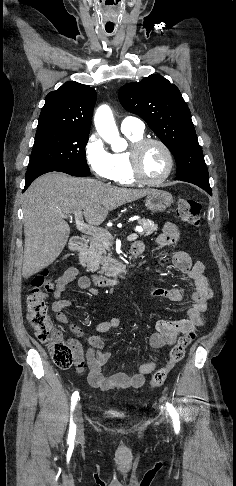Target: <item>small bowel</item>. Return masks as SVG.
I'll return each mask as SVG.
<instances>
[{"mask_svg":"<svg viewBox=\"0 0 236 486\" xmlns=\"http://www.w3.org/2000/svg\"><path fill=\"white\" fill-rule=\"evenodd\" d=\"M180 241V232L174 223H167L163 231L156 237L155 243L158 246L176 245ZM135 246L138 253L143 252L145 246L142 242H137ZM173 264L178 270L186 272L190 279L193 280L195 290L191 294L192 306L186 311L185 318L178 320L162 319L156 324V332L150 336L149 343L153 349H160L165 346H171L175 343L180 334L192 332L201 324L203 314L207 309L208 301L213 297V290L207 277L204 275V264L201 261H194L185 251H177L172 256H163L157 261V268L166 264ZM78 279L79 287L85 290L89 289V281L86 277L80 276L75 267L68 268L56 282L54 292V302L52 311L59 323L67 325L70 330L80 338H84L88 344L86 350L76 339H70L69 344L73 349L75 358V368L82 372L85 364L89 369L88 383L91 387L102 391L108 390H126L129 388H140L145 377L152 373L157 367L156 359L152 358L135 369L129 374L117 372L110 375L103 373V367L110 360L111 354L104 347V342L97 334L86 335L83 329L71 321L64 310L72 306V301L63 299L68 285ZM94 293H97L96 291ZM151 298H164L173 302H180L184 296L180 289H166L152 286L150 288ZM122 319L119 317L111 318L97 324V333H105L121 325Z\"/></svg>","mask_w":236,"mask_h":486,"instance_id":"obj_1","label":"small bowel"}]
</instances>
